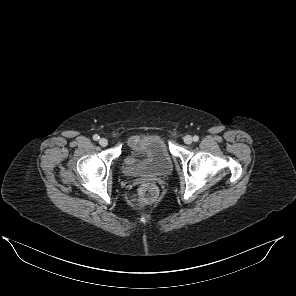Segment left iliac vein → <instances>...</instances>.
<instances>
[{
  "mask_svg": "<svg viewBox=\"0 0 296 296\" xmlns=\"http://www.w3.org/2000/svg\"><path fill=\"white\" fill-rule=\"evenodd\" d=\"M184 142H185L186 144H191V143L193 142V138H192L190 135H186V136L184 137Z\"/></svg>",
  "mask_w": 296,
  "mask_h": 296,
  "instance_id": "4c4485c4",
  "label": "left iliac vein"
}]
</instances>
